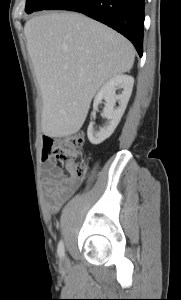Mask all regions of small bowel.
<instances>
[{"instance_id":"c3829d8e","label":"small bowel","mask_w":181,"mask_h":300,"mask_svg":"<svg viewBox=\"0 0 181 300\" xmlns=\"http://www.w3.org/2000/svg\"><path fill=\"white\" fill-rule=\"evenodd\" d=\"M81 179L66 175L54 161L49 160L42 177V185L49 198L47 208L57 212L62 204L79 188Z\"/></svg>"}]
</instances>
